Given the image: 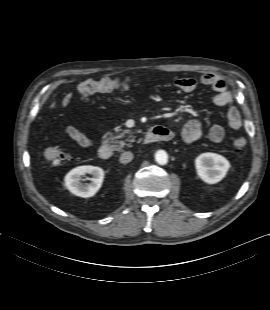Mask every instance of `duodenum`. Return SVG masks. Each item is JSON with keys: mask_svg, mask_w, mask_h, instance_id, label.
<instances>
[{"mask_svg": "<svg viewBox=\"0 0 270 310\" xmlns=\"http://www.w3.org/2000/svg\"><path fill=\"white\" fill-rule=\"evenodd\" d=\"M174 133L172 130L163 126H154L148 129L146 134V142L167 141L172 139ZM113 150L110 145L103 144L98 148V157L101 160H108L112 157Z\"/></svg>", "mask_w": 270, "mask_h": 310, "instance_id": "410a0bca", "label": "duodenum"}]
</instances>
